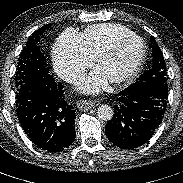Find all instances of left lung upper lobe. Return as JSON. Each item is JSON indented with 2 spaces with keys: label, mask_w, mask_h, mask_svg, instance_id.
Returning a JSON list of instances; mask_svg holds the SVG:
<instances>
[{
  "label": "left lung upper lobe",
  "mask_w": 183,
  "mask_h": 183,
  "mask_svg": "<svg viewBox=\"0 0 183 183\" xmlns=\"http://www.w3.org/2000/svg\"><path fill=\"white\" fill-rule=\"evenodd\" d=\"M152 42L154 49L153 65L135 83L130 85L129 88L134 92H142L159 99L167 100V69L164 57L154 37H152Z\"/></svg>",
  "instance_id": "left-lung-upper-lobe-1"
}]
</instances>
